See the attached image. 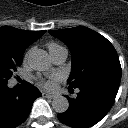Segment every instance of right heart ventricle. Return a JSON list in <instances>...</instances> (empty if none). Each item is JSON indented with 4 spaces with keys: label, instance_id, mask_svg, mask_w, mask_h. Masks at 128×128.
Instances as JSON below:
<instances>
[{
    "label": "right heart ventricle",
    "instance_id": "obj_1",
    "mask_svg": "<svg viewBox=\"0 0 128 128\" xmlns=\"http://www.w3.org/2000/svg\"><path fill=\"white\" fill-rule=\"evenodd\" d=\"M60 48H62V46H60L57 43L51 42L48 44V50H49L50 55Z\"/></svg>",
    "mask_w": 128,
    "mask_h": 128
}]
</instances>
